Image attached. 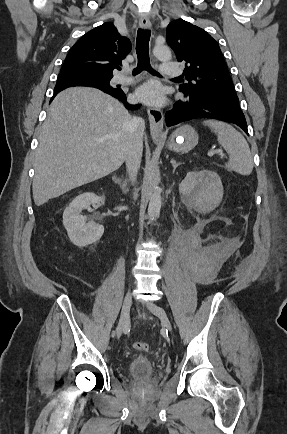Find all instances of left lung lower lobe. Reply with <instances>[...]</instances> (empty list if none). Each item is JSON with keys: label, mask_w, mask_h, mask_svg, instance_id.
Wrapping results in <instances>:
<instances>
[{"label": "left lung lower lobe", "mask_w": 287, "mask_h": 434, "mask_svg": "<svg viewBox=\"0 0 287 434\" xmlns=\"http://www.w3.org/2000/svg\"><path fill=\"white\" fill-rule=\"evenodd\" d=\"M184 96L183 100L177 101L173 109L165 114L168 127L190 119L211 118L234 123L248 134L247 123L238 99L203 93Z\"/></svg>", "instance_id": "obj_1"}]
</instances>
